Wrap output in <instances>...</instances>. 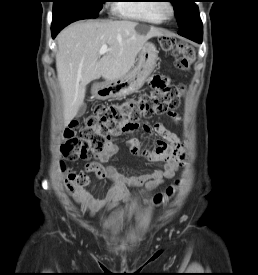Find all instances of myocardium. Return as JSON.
<instances>
[{
    "label": "myocardium",
    "instance_id": "1",
    "mask_svg": "<svg viewBox=\"0 0 258 275\" xmlns=\"http://www.w3.org/2000/svg\"><path fill=\"white\" fill-rule=\"evenodd\" d=\"M158 13L163 20H170L175 16V8L172 3L163 2L157 6Z\"/></svg>",
    "mask_w": 258,
    "mask_h": 275
}]
</instances>
